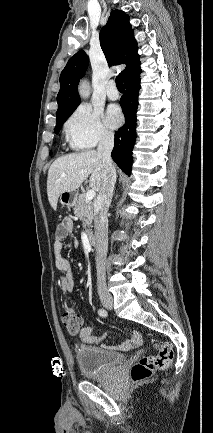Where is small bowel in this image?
<instances>
[{
  "label": "small bowel",
  "mask_w": 213,
  "mask_h": 433,
  "mask_svg": "<svg viewBox=\"0 0 213 433\" xmlns=\"http://www.w3.org/2000/svg\"><path fill=\"white\" fill-rule=\"evenodd\" d=\"M73 222L70 218H64L57 225L55 230V237L53 243V250L55 255V265L58 269L60 277V288L64 298V307L67 310L71 309L68 293L74 288L73 274L71 262L68 258L63 256L64 240L71 236ZM73 245L78 246V241L73 239ZM79 339L90 345H101L106 339V334L99 336L93 335V327L85 326L78 331ZM142 343V336L139 332L133 331L131 336L122 342L120 345L110 348L127 351L131 348L137 347Z\"/></svg>",
  "instance_id": "1"
}]
</instances>
